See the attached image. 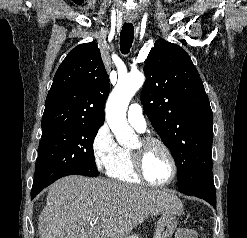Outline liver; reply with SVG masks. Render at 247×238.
<instances>
[{
    "label": "liver",
    "instance_id": "obj_1",
    "mask_svg": "<svg viewBox=\"0 0 247 238\" xmlns=\"http://www.w3.org/2000/svg\"><path fill=\"white\" fill-rule=\"evenodd\" d=\"M181 210L166 191L72 175L49 187L38 229L40 238H120L148 217Z\"/></svg>",
    "mask_w": 247,
    "mask_h": 238
}]
</instances>
